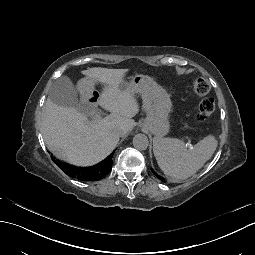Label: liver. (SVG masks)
Returning a JSON list of instances; mask_svg holds the SVG:
<instances>
[{"instance_id": "6515ba94", "label": "liver", "mask_w": 255, "mask_h": 255, "mask_svg": "<svg viewBox=\"0 0 255 255\" xmlns=\"http://www.w3.org/2000/svg\"><path fill=\"white\" fill-rule=\"evenodd\" d=\"M129 71L92 67L80 72L90 81L100 84L96 104L110 112L112 117L86 122L83 114L47 99L41 131L48 149L54 155L76 165L88 166L100 162L113 151L120 139L114 128L124 122L133 127L131 118L140 112L135 86L130 84L125 91L120 89V83L126 80ZM152 96H157L162 103V111L167 104H171L166 91L154 81L143 97V107Z\"/></svg>"}]
</instances>
